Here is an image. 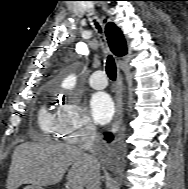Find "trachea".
Returning a JSON list of instances; mask_svg holds the SVG:
<instances>
[{
    "mask_svg": "<svg viewBox=\"0 0 188 189\" xmlns=\"http://www.w3.org/2000/svg\"><path fill=\"white\" fill-rule=\"evenodd\" d=\"M96 27L97 29H99V32H101L100 26L97 23H96ZM106 73L111 80L114 81L116 79V64L111 55L107 57Z\"/></svg>",
    "mask_w": 188,
    "mask_h": 189,
    "instance_id": "3493384b",
    "label": "trachea"
}]
</instances>
